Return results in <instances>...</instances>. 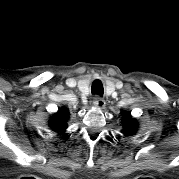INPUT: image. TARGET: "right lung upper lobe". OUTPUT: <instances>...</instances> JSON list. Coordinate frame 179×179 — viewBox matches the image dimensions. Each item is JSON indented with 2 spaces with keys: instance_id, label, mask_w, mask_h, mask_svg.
<instances>
[{
  "instance_id": "right-lung-upper-lobe-1",
  "label": "right lung upper lobe",
  "mask_w": 179,
  "mask_h": 179,
  "mask_svg": "<svg viewBox=\"0 0 179 179\" xmlns=\"http://www.w3.org/2000/svg\"><path fill=\"white\" fill-rule=\"evenodd\" d=\"M67 119V109L61 108L51 117L50 127L56 132L63 133L67 128Z\"/></svg>"
}]
</instances>
